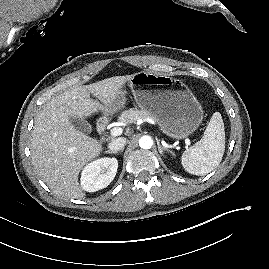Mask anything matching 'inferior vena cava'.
Listing matches in <instances>:
<instances>
[{"mask_svg": "<svg viewBox=\"0 0 269 269\" xmlns=\"http://www.w3.org/2000/svg\"><path fill=\"white\" fill-rule=\"evenodd\" d=\"M126 144V138L124 137H119L116 139H113L109 144L108 147L111 151H119L124 148Z\"/></svg>", "mask_w": 269, "mask_h": 269, "instance_id": "inferior-vena-cava-1", "label": "inferior vena cava"}]
</instances>
